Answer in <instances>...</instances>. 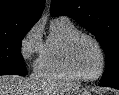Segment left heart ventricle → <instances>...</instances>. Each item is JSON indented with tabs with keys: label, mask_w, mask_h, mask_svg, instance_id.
Returning <instances> with one entry per match:
<instances>
[{
	"label": "left heart ventricle",
	"mask_w": 119,
	"mask_h": 95,
	"mask_svg": "<svg viewBox=\"0 0 119 95\" xmlns=\"http://www.w3.org/2000/svg\"><path fill=\"white\" fill-rule=\"evenodd\" d=\"M76 70L83 76H95L100 69L101 57L96 45L86 38H81L73 51Z\"/></svg>",
	"instance_id": "1"
}]
</instances>
